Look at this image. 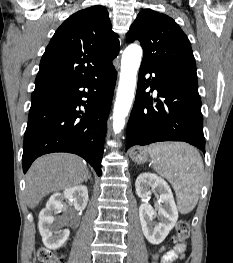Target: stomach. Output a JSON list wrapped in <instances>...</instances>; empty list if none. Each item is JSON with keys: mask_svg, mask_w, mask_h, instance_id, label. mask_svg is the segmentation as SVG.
Masks as SVG:
<instances>
[{"mask_svg": "<svg viewBox=\"0 0 233 263\" xmlns=\"http://www.w3.org/2000/svg\"><path fill=\"white\" fill-rule=\"evenodd\" d=\"M131 158L137 163H145L148 161V151L146 148H135L130 153Z\"/></svg>", "mask_w": 233, "mask_h": 263, "instance_id": "stomach-1", "label": "stomach"}]
</instances>
